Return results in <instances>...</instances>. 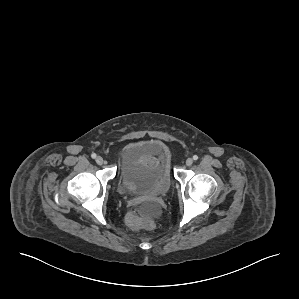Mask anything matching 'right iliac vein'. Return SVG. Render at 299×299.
<instances>
[{
	"instance_id": "1",
	"label": "right iliac vein",
	"mask_w": 299,
	"mask_h": 299,
	"mask_svg": "<svg viewBox=\"0 0 299 299\" xmlns=\"http://www.w3.org/2000/svg\"><path fill=\"white\" fill-rule=\"evenodd\" d=\"M96 163H97L98 165H102V164L104 163L103 158H102L101 156H98V157L96 158Z\"/></svg>"
}]
</instances>
